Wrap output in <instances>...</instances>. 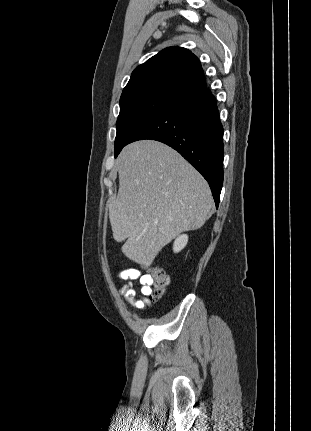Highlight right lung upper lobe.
<instances>
[{
    "mask_svg": "<svg viewBox=\"0 0 311 431\" xmlns=\"http://www.w3.org/2000/svg\"><path fill=\"white\" fill-rule=\"evenodd\" d=\"M204 87L206 81L197 57L185 48L170 47L139 65L122 94L154 88L181 97Z\"/></svg>",
    "mask_w": 311,
    "mask_h": 431,
    "instance_id": "right-lung-upper-lobe-1",
    "label": "right lung upper lobe"
}]
</instances>
